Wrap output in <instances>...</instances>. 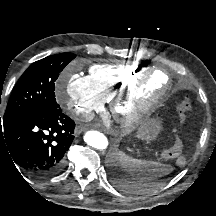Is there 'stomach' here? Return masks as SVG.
<instances>
[{
    "instance_id": "stomach-1",
    "label": "stomach",
    "mask_w": 216,
    "mask_h": 216,
    "mask_svg": "<svg viewBox=\"0 0 216 216\" xmlns=\"http://www.w3.org/2000/svg\"><path fill=\"white\" fill-rule=\"evenodd\" d=\"M161 129L159 119L152 118L144 121L138 131V136L145 140H153Z\"/></svg>"
}]
</instances>
